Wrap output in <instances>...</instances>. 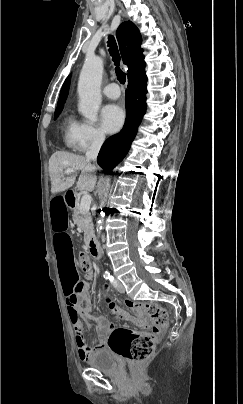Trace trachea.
Here are the masks:
<instances>
[{
    "mask_svg": "<svg viewBox=\"0 0 243 404\" xmlns=\"http://www.w3.org/2000/svg\"><path fill=\"white\" fill-rule=\"evenodd\" d=\"M108 47H109L110 55L112 56V60L115 64V71H116L117 79L119 80V82L121 84H125L126 74L120 68V54L118 51V47H117L115 38L112 35H110L108 37Z\"/></svg>",
    "mask_w": 243,
    "mask_h": 404,
    "instance_id": "1",
    "label": "trachea"
}]
</instances>
